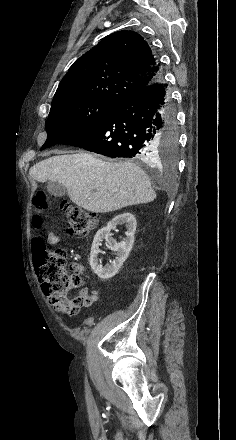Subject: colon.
<instances>
[{
	"instance_id": "1",
	"label": "colon",
	"mask_w": 236,
	"mask_h": 440,
	"mask_svg": "<svg viewBox=\"0 0 236 440\" xmlns=\"http://www.w3.org/2000/svg\"><path fill=\"white\" fill-rule=\"evenodd\" d=\"M33 205L38 212L33 216L36 229L42 225L39 212L46 209L47 198L43 193L33 197ZM69 229L74 235H86L97 225L96 216L77 206L63 204ZM34 244L40 247V255L35 262L36 271L42 281V290L50 303L60 311L73 315L82 306L83 299L71 293V290L81 285L82 279L78 272L71 273L67 267V254L63 249L47 251L41 238L36 237Z\"/></svg>"
}]
</instances>
